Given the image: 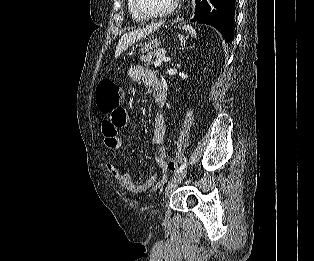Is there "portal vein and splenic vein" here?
<instances>
[{"mask_svg": "<svg viewBox=\"0 0 314 261\" xmlns=\"http://www.w3.org/2000/svg\"><path fill=\"white\" fill-rule=\"evenodd\" d=\"M163 61H166L165 57H158V59L156 60V62L154 63L155 67H159Z\"/></svg>", "mask_w": 314, "mask_h": 261, "instance_id": "obj_1", "label": "portal vein and splenic vein"}]
</instances>
